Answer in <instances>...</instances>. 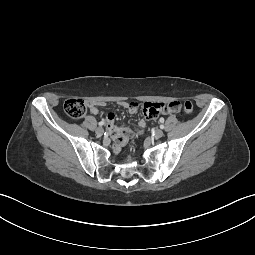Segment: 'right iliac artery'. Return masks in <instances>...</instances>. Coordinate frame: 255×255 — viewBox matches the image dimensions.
<instances>
[{
    "instance_id": "1",
    "label": "right iliac artery",
    "mask_w": 255,
    "mask_h": 255,
    "mask_svg": "<svg viewBox=\"0 0 255 255\" xmlns=\"http://www.w3.org/2000/svg\"><path fill=\"white\" fill-rule=\"evenodd\" d=\"M104 124V121H101L98 123L99 126H102Z\"/></svg>"
}]
</instances>
